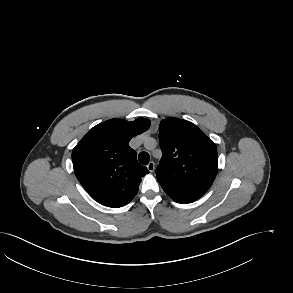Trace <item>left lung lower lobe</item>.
Returning <instances> with one entry per match:
<instances>
[{
	"mask_svg": "<svg viewBox=\"0 0 293 293\" xmlns=\"http://www.w3.org/2000/svg\"><path fill=\"white\" fill-rule=\"evenodd\" d=\"M178 203H190V202H178Z\"/></svg>",
	"mask_w": 293,
	"mask_h": 293,
	"instance_id": "0a47b994",
	"label": "left lung lower lobe"
}]
</instances>
